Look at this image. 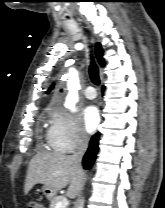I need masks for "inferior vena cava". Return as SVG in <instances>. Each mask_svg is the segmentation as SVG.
<instances>
[{"label":"inferior vena cava","instance_id":"1","mask_svg":"<svg viewBox=\"0 0 165 208\" xmlns=\"http://www.w3.org/2000/svg\"><path fill=\"white\" fill-rule=\"evenodd\" d=\"M88 136L86 133L81 132L79 134L77 148L75 153L71 156V159L74 163L81 166L83 155L85 154L87 148H88Z\"/></svg>","mask_w":165,"mask_h":208}]
</instances>
